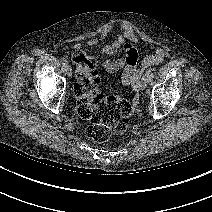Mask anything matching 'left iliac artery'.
Listing matches in <instances>:
<instances>
[{
    "label": "left iliac artery",
    "mask_w": 212,
    "mask_h": 212,
    "mask_svg": "<svg viewBox=\"0 0 212 212\" xmlns=\"http://www.w3.org/2000/svg\"><path fill=\"white\" fill-rule=\"evenodd\" d=\"M152 77H153V75H152L151 71L148 70V71L145 73V75H144V77H143V80H144L147 84H150V82L152 81Z\"/></svg>",
    "instance_id": "left-iliac-artery-1"
}]
</instances>
